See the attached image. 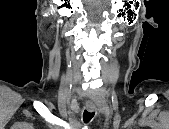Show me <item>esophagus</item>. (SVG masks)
I'll use <instances>...</instances> for the list:
<instances>
[{
    "label": "esophagus",
    "mask_w": 169,
    "mask_h": 129,
    "mask_svg": "<svg viewBox=\"0 0 169 129\" xmlns=\"http://www.w3.org/2000/svg\"><path fill=\"white\" fill-rule=\"evenodd\" d=\"M85 108H86L88 111H90V112H93V111L96 110L95 106L92 105V104H87V105L85 106Z\"/></svg>",
    "instance_id": "1"
}]
</instances>
